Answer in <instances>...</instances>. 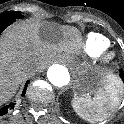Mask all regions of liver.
Wrapping results in <instances>:
<instances>
[{
  "mask_svg": "<svg viewBox=\"0 0 124 124\" xmlns=\"http://www.w3.org/2000/svg\"><path fill=\"white\" fill-rule=\"evenodd\" d=\"M80 44L79 33L73 27L56 29L28 22L7 31L0 40V105L34 73L29 69L31 62H36L40 70L57 52L77 53Z\"/></svg>",
  "mask_w": 124,
  "mask_h": 124,
  "instance_id": "liver-1",
  "label": "liver"
}]
</instances>
